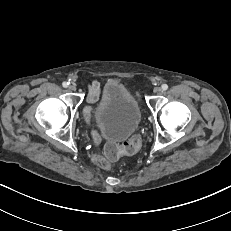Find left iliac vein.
I'll list each match as a JSON object with an SVG mask.
<instances>
[{
    "label": "left iliac vein",
    "instance_id": "1",
    "mask_svg": "<svg viewBox=\"0 0 231 231\" xmlns=\"http://www.w3.org/2000/svg\"><path fill=\"white\" fill-rule=\"evenodd\" d=\"M153 91L156 94H160L162 92V89H161V87H155Z\"/></svg>",
    "mask_w": 231,
    "mask_h": 231
}]
</instances>
